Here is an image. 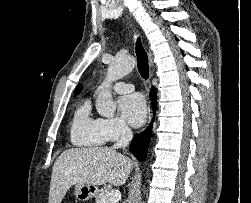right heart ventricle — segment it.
Wrapping results in <instances>:
<instances>
[{
    "mask_svg": "<svg viewBox=\"0 0 251 203\" xmlns=\"http://www.w3.org/2000/svg\"><path fill=\"white\" fill-rule=\"evenodd\" d=\"M70 139L74 145L81 147H99L106 141L99 128L98 119L91 115L88 100L82 102L74 113Z\"/></svg>",
    "mask_w": 251,
    "mask_h": 203,
    "instance_id": "right-heart-ventricle-1",
    "label": "right heart ventricle"
}]
</instances>
